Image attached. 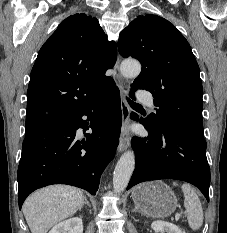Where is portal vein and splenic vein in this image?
<instances>
[{"label":"portal vein and splenic vein","instance_id":"1","mask_svg":"<svg viewBox=\"0 0 227 233\" xmlns=\"http://www.w3.org/2000/svg\"><path fill=\"white\" fill-rule=\"evenodd\" d=\"M182 213H176L175 214V221L177 222L179 218L181 217Z\"/></svg>","mask_w":227,"mask_h":233}]
</instances>
